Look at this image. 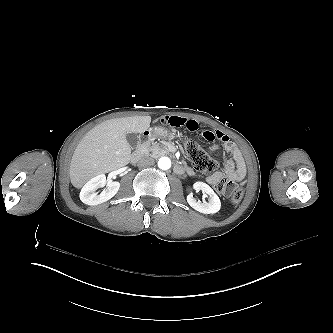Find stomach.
<instances>
[{
    "label": "stomach",
    "mask_w": 333,
    "mask_h": 333,
    "mask_svg": "<svg viewBox=\"0 0 333 333\" xmlns=\"http://www.w3.org/2000/svg\"><path fill=\"white\" fill-rule=\"evenodd\" d=\"M171 135V131L167 127L155 126L146 130L141 134L143 143L151 142L157 138L166 139Z\"/></svg>",
    "instance_id": "stomach-1"
}]
</instances>
